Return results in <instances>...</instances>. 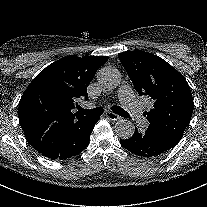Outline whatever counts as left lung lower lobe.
Masks as SVG:
<instances>
[{"mask_svg":"<svg viewBox=\"0 0 207 207\" xmlns=\"http://www.w3.org/2000/svg\"><path fill=\"white\" fill-rule=\"evenodd\" d=\"M120 143L128 151L147 158L159 156L174 148L154 132L146 130L145 133H140L136 127L133 136L129 139L120 140Z\"/></svg>","mask_w":207,"mask_h":207,"instance_id":"1","label":"left lung lower lobe"}]
</instances>
